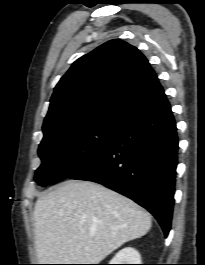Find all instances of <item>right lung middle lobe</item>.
I'll use <instances>...</instances> for the list:
<instances>
[{
	"label": "right lung middle lobe",
	"instance_id": "obj_1",
	"mask_svg": "<svg viewBox=\"0 0 205 265\" xmlns=\"http://www.w3.org/2000/svg\"><path fill=\"white\" fill-rule=\"evenodd\" d=\"M120 124L97 122L64 132L44 133L38 153L42 160L35 181L51 185L85 167L115 137Z\"/></svg>",
	"mask_w": 205,
	"mask_h": 265
}]
</instances>
